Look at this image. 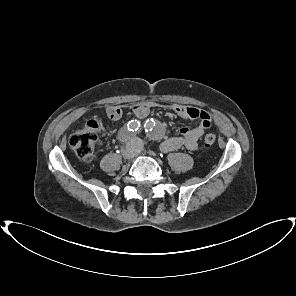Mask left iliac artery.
<instances>
[{
  "mask_svg": "<svg viewBox=\"0 0 296 296\" xmlns=\"http://www.w3.org/2000/svg\"><path fill=\"white\" fill-rule=\"evenodd\" d=\"M145 126H146L145 131H148V130H147V128H148V124L145 123L144 128H145ZM150 130H152V129H150Z\"/></svg>",
  "mask_w": 296,
  "mask_h": 296,
  "instance_id": "left-iliac-artery-1",
  "label": "left iliac artery"
}]
</instances>
